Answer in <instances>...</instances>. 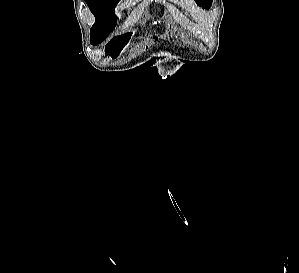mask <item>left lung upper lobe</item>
<instances>
[{
	"label": "left lung upper lobe",
	"mask_w": 299,
	"mask_h": 273,
	"mask_svg": "<svg viewBox=\"0 0 299 273\" xmlns=\"http://www.w3.org/2000/svg\"><path fill=\"white\" fill-rule=\"evenodd\" d=\"M195 2L205 9H209L212 4V0H195Z\"/></svg>",
	"instance_id": "left-lung-upper-lobe-1"
}]
</instances>
